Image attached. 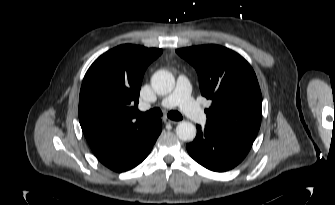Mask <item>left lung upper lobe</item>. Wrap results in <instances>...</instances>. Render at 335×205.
<instances>
[{
    "mask_svg": "<svg viewBox=\"0 0 335 205\" xmlns=\"http://www.w3.org/2000/svg\"><path fill=\"white\" fill-rule=\"evenodd\" d=\"M197 71L201 94L212 101L206 126L254 141L262 95L254 70L238 53L218 45L176 50Z\"/></svg>",
    "mask_w": 335,
    "mask_h": 205,
    "instance_id": "left-lung-upper-lobe-1",
    "label": "left lung upper lobe"
}]
</instances>
